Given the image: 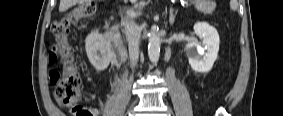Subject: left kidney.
Segmentation results:
<instances>
[{
  "label": "left kidney",
  "mask_w": 283,
  "mask_h": 116,
  "mask_svg": "<svg viewBox=\"0 0 283 116\" xmlns=\"http://www.w3.org/2000/svg\"><path fill=\"white\" fill-rule=\"evenodd\" d=\"M193 28L195 34L202 40V44H189L186 47L188 61L194 71L207 73L212 69L218 56L219 34L206 22H197Z\"/></svg>",
  "instance_id": "left-kidney-1"
}]
</instances>
